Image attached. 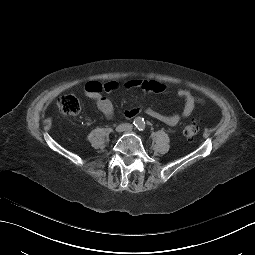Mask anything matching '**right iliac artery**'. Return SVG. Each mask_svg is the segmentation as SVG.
I'll return each mask as SVG.
<instances>
[{"label": "right iliac artery", "instance_id": "82829eb1", "mask_svg": "<svg viewBox=\"0 0 255 255\" xmlns=\"http://www.w3.org/2000/svg\"><path fill=\"white\" fill-rule=\"evenodd\" d=\"M133 124H134V126H136V127H137V126H139V124H140V123H139V121H138V120H135V121L133 122Z\"/></svg>", "mask_w": 255, "mask_h": 255}]
</instances>
